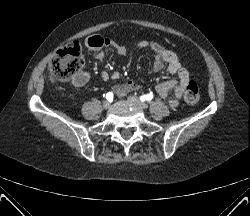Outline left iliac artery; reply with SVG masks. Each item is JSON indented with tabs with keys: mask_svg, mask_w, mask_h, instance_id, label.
<instances>
[{
	"mask_svg": "<svg viewBox=\"0 0 250 216\" xmlns=\"http://www.w3.org/2000/svg\"><path fill=\"white\" fill-rule=\"evenodd\" d=\"M153 99V95L152 94H147V95H142L140 97V100L143 101H151Z\"/></svg>",
	"mask_w": 250,
	"mask_h": 216,
	"instance_id": "44dca946",
	"label": "left iliac artery"
}]
</instances>
